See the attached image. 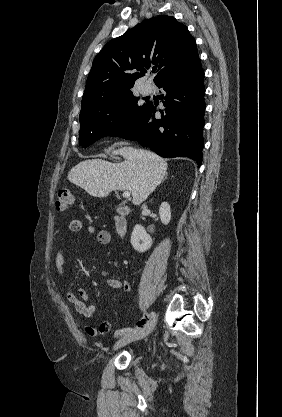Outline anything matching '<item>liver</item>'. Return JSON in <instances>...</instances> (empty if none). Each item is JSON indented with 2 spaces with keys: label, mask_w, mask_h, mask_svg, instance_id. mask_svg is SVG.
Returning <instances> with one entry per match:
<instances>
[{
  "label": "liver",
  "mask_w": 282,
  "mask_h": 417,
  "mask_svg": "<svg viewBox=\"0 0 282 417\" xmlns=\"http://www.w3.org/2000/svg\"><path fill=\"white\" fill-rule=\"evenodd\" d=\"M112 154H121L124 162L82 160L69 170L68 180L92 196H108L111 190H130L133 204H141L161 184L168 166L165 158L133 146L116 148Z\"/></svg>",
  "instance_id": "liver-1"
}]
</instances>
